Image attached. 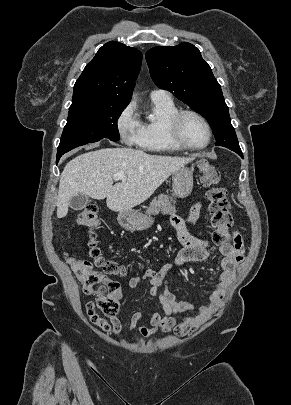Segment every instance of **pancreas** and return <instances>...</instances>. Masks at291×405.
Returning a JSON list of instances; mask_svg holds the SVG:
<instances>
[{"instance_id":"1","label":"pancreas","mask_w":291,"mask_h":405,"mask_svg":"<svg viewBox=\"0 0 291 405\" xmlns=\"http://www.w3.org/2000/svg\"><path fill=\"white\" fill-rule=\"evenodd\" d=\"M174 204V201H169V197L167 195L161 194L157 199L154 198L152 200L146 213L148 215L158 214L159 212L162 214H172L175 210Z\"/></svg>"}]
</instances>
